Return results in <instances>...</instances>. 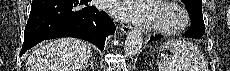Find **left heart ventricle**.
<instances>
[{"label":"left heart ventricle","instance_id":"b2bd125f","mask_svg":"<svg viewBox=\"0 0 230 71\" xmlns=\"http://www.w3.org/2000/svg\"><path fill=\"white\" fill-rule=\"evenodd\" d=\"M153 7L155 10L154 22L165 24H172L176 22L177 18L172 11L163 9L156 4H153Z\"/></svg>","mask_w":230,"mask_h":71}]
</instances>
